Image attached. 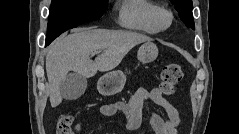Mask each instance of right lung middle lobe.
I'll use <instances>...</instances> for the list:
<instances>
[{
    "label": "right lung middle lobe",
    "instance_id": "right-lung-middle-lobe-1",
    "mask_svg": "<svg viewBox=\"0 0 239 134\" xmlns=\"http://www.w3.org/2000/svg\"><path fill=\"white\" fill-rule=\"evenodd\" d=\"M108 0H52L46 39L54 40L64 31L99 19Z\"/></svg>",
    "mask_w": 239,
    "mask_h": 134
}]
</instances>
